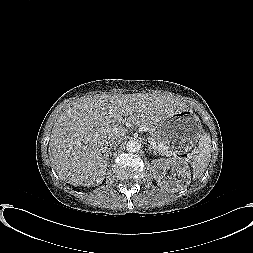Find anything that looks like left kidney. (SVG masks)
<instances>
[{"instance_id": "5707ae66", "label": "left kidney", "mask_w": 253, "mask_h": 253, "mask_svg": "<svg viewBox=\"0 0 253 253\" xmlns=\"http://www.w3.org/2000/svg\"><path fill=\"white\" fill-rule=\"evenodd\" d=\"M154 178L158 185L164 188L172 187L175 190H183L191 180V172L188 163L181 158L179 159H158L153 160ZM172 170V178L166 177L165 171Z\"/></svg>"}]
</instances>
